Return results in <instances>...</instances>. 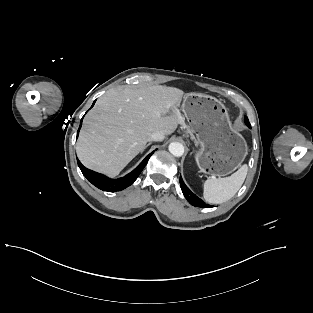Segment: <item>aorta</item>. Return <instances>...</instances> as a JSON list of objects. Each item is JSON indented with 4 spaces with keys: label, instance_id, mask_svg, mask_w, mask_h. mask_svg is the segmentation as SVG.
I'll return each instance as SVG.
<instances>
[{
    "label": "aorta",
    "instance_id": "aorta-1",
    "mask_svg": "<svg viewBox=\"0 0 313 313\" xmlns=\"http://www.w3.org/2000/svg\"><path fill=\"white\" fill-rule=\"evenodd\" d=\"M169 151L176 157H181L184 154V146L178 142H172L169 145Z\"/></svg>",
    "mask_w": 313,
    "mask_h": 313
}]
</instances>
